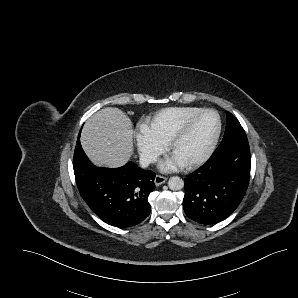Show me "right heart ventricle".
I'll list each match as a JSON object with an SVG mask.
<instances>
[{"label": "right heart ventricle", "instance_id": "right-heart-ventricle-1", "mask_svg": "<svg viewBox=\"0 0 298 298\" xmlns=\"http://www.w3.org/2000/svg\"><path fill=\"white\" fill-rule=\"evenodd\" d=\"M201 110L202 108L195 106L165 108L152 116L150 125L153 129L157 130L161 134L162 139L166 141L167 136L176 125Z\"/></svg>", "mask_w": 298, "mask_h": 298}]
</instances>
